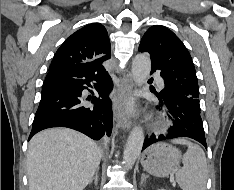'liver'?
<instances>
[{
	"label": "liver",
	"instance_id": "1",
	"mask_svg": "<svg viewBox=\"0 0 234 190\" xmlns=\"http://www.w3.org/2000/svg\"><path fill=\"white\" fill-rule=\"evenodd\" d=\"M100 147L67 128L37 133L29 142V190H83L99 169Z\"/></svg>",
	"mask_w": 234,
	"mask_h": 190
}]
</instances>
